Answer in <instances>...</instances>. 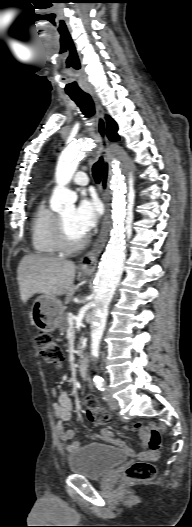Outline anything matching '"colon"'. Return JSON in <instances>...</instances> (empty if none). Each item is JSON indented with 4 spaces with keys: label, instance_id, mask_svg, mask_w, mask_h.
Segmentation results:
<instances>
[{
    "label": "colon",
    "instance_id": "1",
    "mask_svg": "<svg viewBox=\"0 0 192 527\" xmlns=\"http://www.w3.org/2000/svg\"><path fill=\"white\" fill-rule=\"evenodd\" d=\"M36 344L42 358L51 366L60 368L63 364V352L52 336L46 332H37L35 336ZM86 414L88 419L97 425H106L110 422L109 413L101 407L94 396L86 398ZM145 428L142 426V429ZM149 448L156 451L162 444V435L156 426L146 428ZM156 467L153 464L142 465L135 462L126 470V477L131 481H150L156 476Z\"/></svg>",
    "mask_w": 192,
    "mask_h": 527
}]
</instances>
